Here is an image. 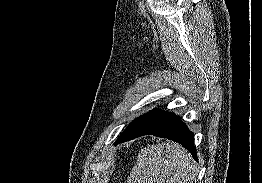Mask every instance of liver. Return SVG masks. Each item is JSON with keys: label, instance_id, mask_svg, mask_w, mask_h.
<instances>
[{"label": "liver", "instance_id": "1", "mask_svg": "<svg viewBox=\"0 0 262 183\" xmlns=\"http://www.w3.org/2000/svg\"><path fill=\"white\" fill-rule=\"evenodd\" d=\"M197 168L185 148L165 141L141 149L128 183H193Z\"/></svg>", "mask_w": 262, "mask_h": 183}]
</instances>
